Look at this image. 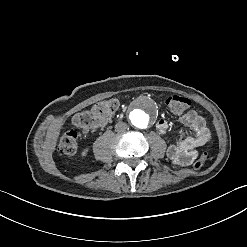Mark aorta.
I'll return each instance as SVG.
<instances>
[{
  "instance_id": "762f6f07",
  "label": "aorta",
  "mask_w": 247,
  "mask_h": 247,
  "mask_svg": "<svg viewBox=\"0 0 247 247\" xmlns=\"http://www.w3.org/2000/svg\"><path fill=\"white\" fill-rule=\"evenodd\" d=\"M133 124L138 128H146L148 124V117L146 114H143L142 112H139L138 114H135L132 118Z\"/></svg>"
}]
</instances>
